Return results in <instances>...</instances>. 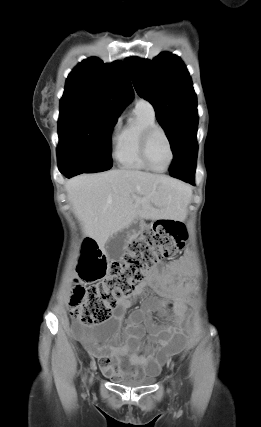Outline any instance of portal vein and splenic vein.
<instances>
[{
    "label": "portal vein and splenic vein",
    "instance_id": "portal-vein-and-splenic-vein-1",
    "mask_svg": "<svg viewBox=\"0 0 261 427\" xmlns=\"http://www.w3.org/2000/svg\"><path fill=\"white\" fill-rule=\"evenodd\" d=\"M139 200H141L142 202L145 201V199H139Z\"/></svg>",
    "mask_w": 261,
    "mask_h": 427
}]
</instances>
